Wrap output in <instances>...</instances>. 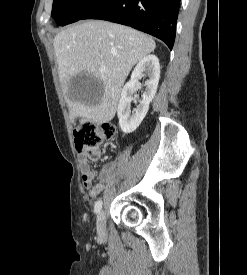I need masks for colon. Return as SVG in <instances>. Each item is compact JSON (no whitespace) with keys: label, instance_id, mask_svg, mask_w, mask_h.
<instances>
[{"label":"colon","instance_id":"1","mask_svg":"<svg viewBox=\"0 0 247 275\" xmlns=\"http://www.w3.org/2000/svg\"><path fill=\"white\" fill-rule=\"evenodd\" d=\"M116 137V128L111 124H95L83 122L74 130V140L78 151L87 153L89 159L98 160L99 146L104 140H113Z\"/></svg>","mask_w":247,"mask_h":275}]
</instances>
